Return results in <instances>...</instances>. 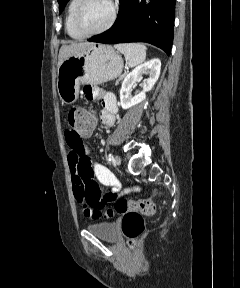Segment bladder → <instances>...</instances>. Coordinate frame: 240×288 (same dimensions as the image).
I'll return each mask as SVG.
<instances>
[{
  "label": "bladder",
  "mask_w": 240,
  "mask_h": 288,
  "mask_svg": "<svg viewBox=\"0 0 240 288\" xmlns=\"http://www.w3.org/2000/svg\"><path fill=\"white\" fill-rule=\"evenodd\" d=\"M86 229L96 237L106 241H115L118 235L117 226L112 222L89 224Z\"/></svg>",
  "instance_id": "bladder-1"
}]
</instances>
